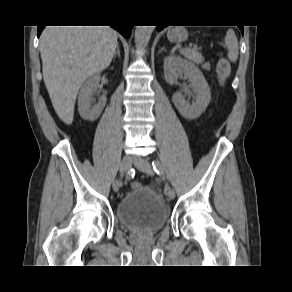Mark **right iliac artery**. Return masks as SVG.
I'll use <instances>...</instances> for the list:
<instances>
[{"instance_id":"1","label":"right iliac artery","mask_w":292,"mask_h":292,"mask_svg":"<svg viewBox=\"0 0 292 292\" xmlns=\"http://www.w3.org/2000/svg\"><path fill=\"white\" fill-rule=\"evenodd\" d=\"M134 177V171L133 169L128 171L126 174V180H130ZM117 182H124V179H117Z\"/></svg>"}]
</instances>
